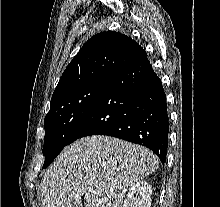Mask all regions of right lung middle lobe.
Returning <instances> with one entry per match:
<instances>
[{"instance_id": "right-lung-middle-lobe-1", "label": "right lung middle lobe", "mask_w": 220, "mask_h": 207, "mask_svg": "<svg viewBox=\"0 0 220 207\" xmlns=\"http://www.w3.org/2000/svg\"><path fill=\"white\" fill-rule=\"evenodd\" d=\"M107 81L99 80L81 86L51 100L44 120L43 168L48 167L69 144L71 135L93 109Z\"/></svg>"}]
</instances>
